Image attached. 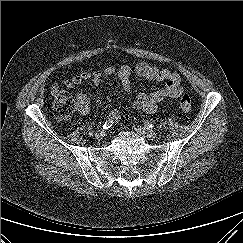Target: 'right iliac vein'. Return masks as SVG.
Here are the masks:
<instances>
[{
    "label": "right iliac vein",
    "instance_id": "63e3f726",
    "mask_svg": "<svg viewBox=\"0 0 243 243\" xmlns=\"http://www.w3.org/2000/svg\"><path fill=\"white\" fill-rule=\"evenodd\" d=\"M106 132L104 130H99L95 133L96 139H102L105 136Z\"/></svg>",
    "mask_w": 243,
    "mask_h": 243
}]
</instances>
